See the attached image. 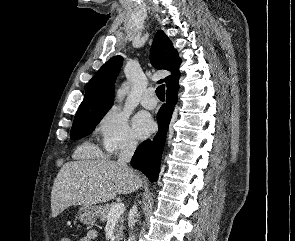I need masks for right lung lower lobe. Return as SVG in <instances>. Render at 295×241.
Wrapping results in <instances>:
<instances>
[{
  "mask_svg": "<svg viewBox=\"0 0 295 241\" xmlns=\"http://www.w3.org/2000/svg\"><path fill=\"white\" fill-rule=\"evenodd\" d=\"M177 90L178 83L167 87L166 104H164L160 108L157 114L159 131L154 137L153 141L148 139L141 143L131 159L132 167L143 172L151 182H154L158 179V174L160 171V160L166 139V134L172 116L173 108L177 101Z\"/></svg>",
  "mask_w": 295,
  "mask_h": 241,
  "instance_id": "98d812e1",
  "label": "right lung lower lobe"
}]
</instances>
